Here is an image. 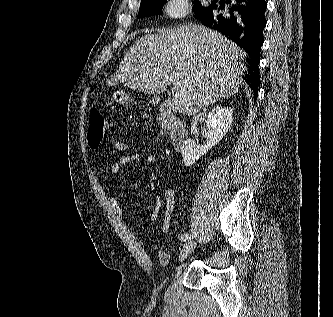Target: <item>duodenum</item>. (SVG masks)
Wrapping results in <instances>:
<instances>
[{
    "label": "duodenum",
    "instance_id": "obj_1",
    "mask_svg": "<svg viewBox=\"0 0 333 317\" xmlns=\"http://www.w3.org/2000/svg\"><path fill=\"white\" fill-rule=\"evenodd\" d=\"M163 121L170 128V142L177 151L182 150L187 140V132L183 125L173 120L172 105L164 100H156Z\"/></svg>",
    "mask_w": 333,
    "mask_h": 317
}]
</instances>
